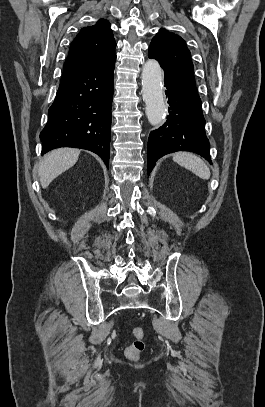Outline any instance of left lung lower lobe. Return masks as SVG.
<instances>
[{"instance_id": "left-lung-lower-lobe-1", "label": "left lung lower lobe", "mask_w": 265, "mask_h": 407, "mask_svg": "<svg viewBox=\"0 0 265 407\" xmlns=\"http://www.w3.org/2000/svg\"><path fill=\"white\" fill-rule=\"evenodd\" d=\"M164 83L170 105L169 116L162 127L149 135L148 174L159 158L176 151H192L211 162L202 102L197 89L171 75H165Z\"/></svg>"}]
</instances>
